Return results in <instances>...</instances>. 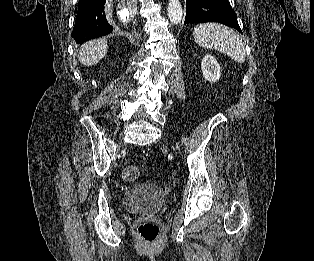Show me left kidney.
I'll use <instances>...</instances> for the list:
<instances>
[{
  "instance_id": "left-kidney-1",
  "label": "left kidney",
  "mask_w": 314,
  "mask_h": 261,
  "mask_svg": "<svg viewBox=\"0 0 314 261\" xmlns=\"http://www.w3.org/2000/svg\"><path fill=\"white\" fill-rule=\"evenodd\" d=\"M201 69L203 78L206 81L215 82L219 80L221 76L220 65L215 59V57H213L210 54L205 55L204 58L202 59Z\"/></svg>"
}]
</instances>
